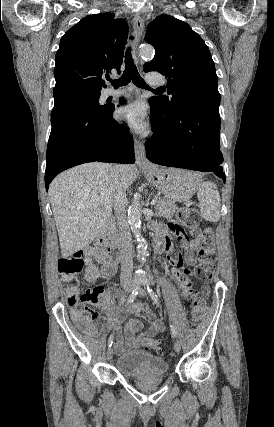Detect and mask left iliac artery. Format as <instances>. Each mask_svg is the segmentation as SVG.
I'll return each instance as SVG.
<instances>
[{"label":"left iliac artery","instance_id":"obj_1","mask_svg":"<svg viewBox=\"0 0 274 427\" xmlns=\"http://www.w3.org/2000/svg\"><path fill=\"white\" fill-rule=\"evenodd\" d=\"M147 291H148V293H149V295H150V297L152 298V300L154 301V303H156L158 306L160 305V300H159V297H158V295L152 290V288L149 286V285H147ZM170 331H171V334H172V336L175 338L176 337V330H175V328H174V326L173 325H171L170 324Z\"/></svg>","mask_w":274,"mask_h":427}]
</instances>
